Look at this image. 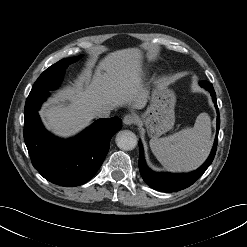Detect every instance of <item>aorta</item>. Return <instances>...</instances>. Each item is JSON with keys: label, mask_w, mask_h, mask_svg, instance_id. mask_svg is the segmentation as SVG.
Wrapping results in <instances>:
<instances>
[{"label": "aorta", "mask_w": 247, "mask_h": 247, "mask_svg": "<svg viewBox=\"0 0 247 247\" xmlns=\"http://www.w3.org/2000/svg\"><path fill=\"white\" fill-rule=\"evenodd\" d=\"M117 146L125 151L133 150L137 145L136 135L129 130L119 131L116 135Z\"/></svg>", "instance_id": "obj_1"}]
</instances>
